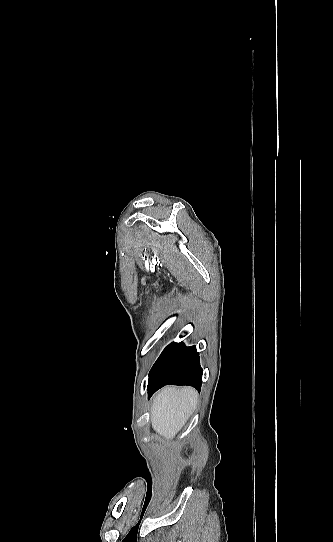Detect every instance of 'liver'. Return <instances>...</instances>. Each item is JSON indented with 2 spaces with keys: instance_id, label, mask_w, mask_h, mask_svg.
Returning a JSON list of instances; mask_svg holds the SVG:
<instances>
[{
  "instance_id": "1",
  "label": "liver",
  "mask_w": 333,
  "mask_h": 542,
  "mask_svg": "<svg viewBox=\"0 0 333 542\" xmlns=\"http://www.w3.org/2000/svg\"><path fill=\"white\" fill-rule=\"evenodd\" d=\"M196 404L197 392L193 388H163L151 406L153 430L165 440H173L189 420Z\"/></svg>"
}]
</instances>
